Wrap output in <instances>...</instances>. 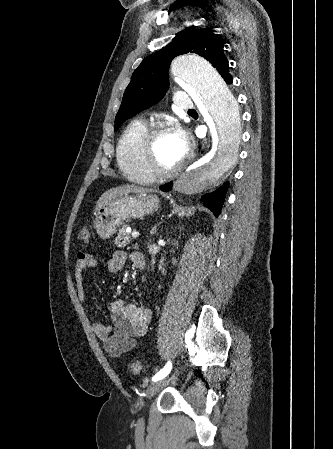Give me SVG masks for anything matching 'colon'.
I'll return each mask as SVG.
<instances>
[{
    "label": "colon",
    "mask_w": 333,
    "mask_h": 449,
    "mask_svg": "<svg viewBox=\"0 0 333 449\" xmlns=\"http://www.w3.org/2000/svg\"><path fill=\"white\" fill-rule=\"evenodd\" d=\"M91 231L90 228L85 226L79 232V239L83 242H87L90 238ZM130 370L133 374L139 375L142 373V365L137 360H132L130 362Z\"/></svg>",
    "instance_id": "obj_1"
}]
</instances>
